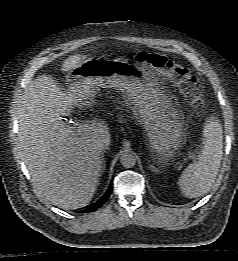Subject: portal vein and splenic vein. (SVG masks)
<instances>
[{"label":"portal vein and splenic vein","mask_w":238,"mask_h":261,"mask_svg":"<svg viewBox=\"0 0 238 261\" xmlns=\"http://www.w3.org/2000/svg\"><path fill=\"white\" fill-rule=\"evenodd\" d=\"M92 128L91 124L88 123H78L73 127V131L77 134L80 135L84 132L90 131Z\"/></svg>","instance_id":"portal-vein-and-splenic-vein-1"}]
</instances>
